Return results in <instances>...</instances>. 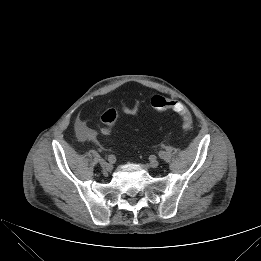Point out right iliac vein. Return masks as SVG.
Returning <instances> with one entry per match:
<instances>
[{
    "instance_id": "obj_1",
    "label": "right iliac vein",
    "mask_w": 261,
    "mask_h": 261,
    "mask_svg": "<svg viewBox=\"0 0 261 261\" xmlns=\"http://www.w3.org/2000/svg\"><path fill=\"white\" fill-rule=\"evenodd\" d=\"M99 164L106 171H111L112 170V165L107 163L104 159H100L99 160Z\"/></svg>"
}]
</instances>
